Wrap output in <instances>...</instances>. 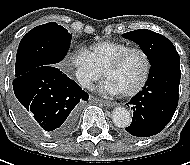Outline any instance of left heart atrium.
Returning <instances> with one entry per match:
<instances>
[{"instance_id":"1","label":"left heart atrium","mask_w":190,"mask_h":165,"mask_svg":"<svg viewBox=\"0 0 190 165\" xmlns=\"http://www.w3.org/2000/svg\"><path fill=\"white\" fill-rule=\"evenodd\" d=\"M101 90L110 94H118L120 91L109 81L106 80L102 86Z\"/></svg>"}]
</instances>
